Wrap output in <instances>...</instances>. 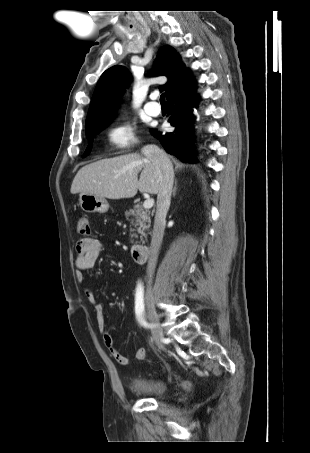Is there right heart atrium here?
Wrapping results in <instances>:
<instances>
[{"instance_id":"obj_1","label":"right heart atrium","mask_w":310,"mask_h":453,"mask_svg":"<svg viewBox=\"0 0 310 453\" xmlns=\"http://www.w3.org/2000/svg\"><path fill=\"white\" fill-rule=\"evenodd\" d=\"M106 138L110 146L117 151L129 150L136 143L134 129L128 122H120L110 127Z\"/></svg>"}]
</instances>
